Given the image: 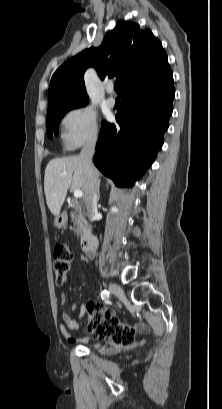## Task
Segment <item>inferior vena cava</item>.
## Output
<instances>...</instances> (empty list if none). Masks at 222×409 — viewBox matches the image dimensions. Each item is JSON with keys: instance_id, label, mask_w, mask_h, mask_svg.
<instances>
[{"instance_id": "inferior-vena-cava-1", "label": "inferior vena cava", "mask_w": 222, "mask_h": 409, "mask_svg": "<svg viewBox=\"0 0 222 409\" xmlns=\"http://www.w3.org/2000/svg\"><path fill=\"white\" fill-rule=\"evenodd\" d=\"M96 139L90 140L82 149L79 158L82 162L85 181H84V202L87 210V216L90 221H94L97 215L98 202V171L95 168L92 158L95 153Z\"/></svg>"}]
</instances>
